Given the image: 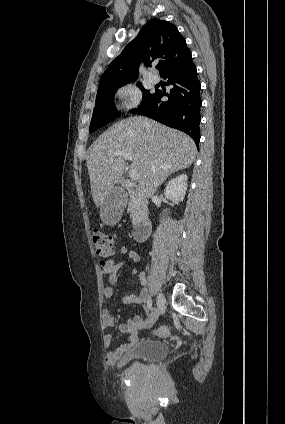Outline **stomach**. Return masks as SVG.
<instances>
[{"instance_id":"stomach-1","label":"stomach","mask_w":285,"mask_h":424,"mask_svg":"<svg viewBox=\"0 0 285 424\" xmlns=\"http://www.w3.org/2000/svg\"><path fill=\"white\" fill-rule=\"evenodd\" d=\"M125 207V199L111 192L100 205V217L108 225L115 224L121 217Z\"/></svg>"}]
</instances>
